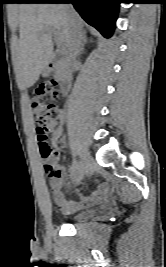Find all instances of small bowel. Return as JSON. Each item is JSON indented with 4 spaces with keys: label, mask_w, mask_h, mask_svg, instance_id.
I'll return each instance as SVG.
<instances>
[{
    "label": "small bowel",
    "mask_w": 166,
    "mask_h": 267,
    "mask_svg": "<svg viewBox=\"0 0 166 267\" xmlns=\"http://www.w3.org/2000/svg\"><path fill=\"white\" fill-rule=\"evenodd\" d=\"M64 124L65 115L63 112H61L59 118L52 121L48 126V132L51 133L50 144L53 147H57L61 141ZM58 159L59 151L55 150L53 151L51 161L55 164ZM56 168L58 170V175L57 177L51 179V194L59 210L63 213L73 214L106 198L109 187L107 184L102 183L97 187L96 190L90 192L88 195L79 194L77 201L67 200L60 190L61 180L65 177V170L62 167L56 166Z\"/></svg>",
    "instance_id": "obj_1"
}]
</instances>
